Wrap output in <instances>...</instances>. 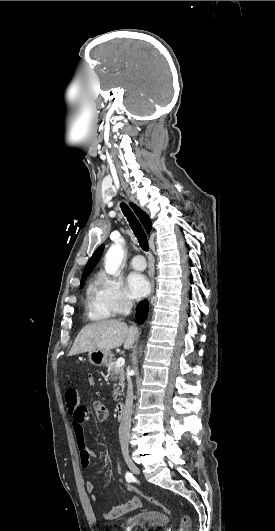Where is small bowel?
Masks as SVG:
<instances>
[{"label":"small bowel","instance_id":"1","mask_svg":"<svg viewBox=\"0 0 275 531\" xmlns=\"http://www.w3.org/2000/svg\"><path fill=\"white\" fill-rule=\"evenodd\" d=\"M84 380L86 383L91 384L94 382L95 377L93 374L88 373L85 375ZM66 405L72 416V430L76 438L77 445L80 449V462L83 468H87L90 466L91 459L96 457L95 451L88 448L86 445L85 425L89 421L90 414L86 408L78 406L77 396L74 393L67 394ZM85 488L86 491L91 495L92 501L97 503L98 499L95 494V483L87 481L85 483ZM126 491L130 494H133L130 491V485L126 486ZM141 506L142 502L140 498L135 495L125 503H122L111 509H103L101 511V515L104 520H112L117 517L123 516L129 512L137 510Z\"/></svg>","mask_w":275,"mask_h":531}]
</instances>
